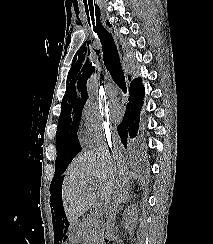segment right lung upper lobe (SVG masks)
Returning a JSON list of instances; mask_svg holds the SVG:
<instances>
[{"label": "right lung upper lobe", "mask_w": 213, "mask_h": 244, "mask_svg": "<svg viewBox=\"0 0 213 244\" xmlns=\"http://www.w3.org/2000/svg\"><path fill=\"white\" fill-rule=\"evenodd\" d=\"M92 72L93 67L88 60L85 62L83 58L78 60L75 67L71 66L68 74V81H70L69 90L67 89L64 95L61 104V112L84 106L88 98L86 81Z\"/></svg>", "instance_id": "1"}]
</instances>
